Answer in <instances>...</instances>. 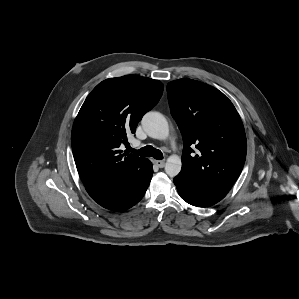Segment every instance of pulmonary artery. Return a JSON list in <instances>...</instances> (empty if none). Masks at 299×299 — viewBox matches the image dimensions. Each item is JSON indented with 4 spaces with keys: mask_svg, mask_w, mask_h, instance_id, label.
Listing matches in <instances>:
<instances>
[{
    "mask_svg": "<svg viewBox=\"0 0 299 299\" xmlns=\"http://www.w3.org/2000/svg\"><path fill=\"white\" fill-rule=\"evenodd\" d=\"M135 145H137V143H135ZM172 145H174V141H172Z\"/></svg>",
    "mask_w": 299,
    "mask_h": 299,
    "instance_id": "obj_1",
    "label": "pulmonary artery"
}]
</instances>
